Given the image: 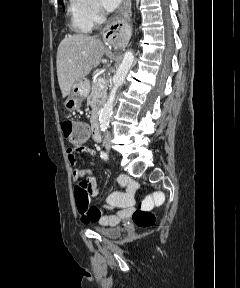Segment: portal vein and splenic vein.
<instances>
[{
    "label": "portal vein and splenic vein",
    "instance_id": "1",
    "mask_svg": "<svg viewBox=\"0 0 240 288\" xmlns=\"http://www.w3.org/2000/svg\"><path fill=\"white\" fill-rule=\"evenodd\" d=\"M97 85H98V87H99L100 89H102V88L104 87V85H105V80H104V78L99 77V78H98V81H97Z\"/></svg>",
    "mask_w": 240,
    "mask_h": 288
}]
</instances>
